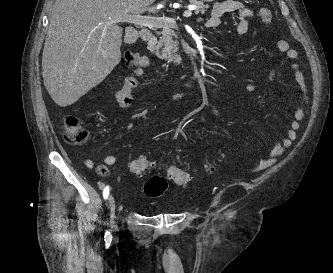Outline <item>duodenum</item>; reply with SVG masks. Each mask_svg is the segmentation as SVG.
Segmentation results:
<instances>
[{
  "label": "duodenum",
  "instance_id": "obj_1",
  "mask_svg": "<svg viewBox=\"0 0 333 273\" xmlns=\"http://www.w3.org/2000/svg\"><path fill=\"white\" fill-rule=\"evenodd\" d=\"M139 37L142 41H145L150 45H153L156 41L153 33L149 29H141L139 31Z\"/></svg>",
  "mask_w": 333,
  "mask_h": 273
}]
</instances>
